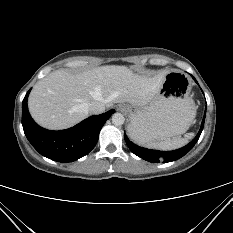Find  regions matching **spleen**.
<instances>
[{
    "instance_id": "1",
    "label": "spleen",
    "mask_w": 233,
    "mask_h": 233,
    "mask_svg": "<svg viewBox=\"0 0 233 233\" xmlns=\"http://www.w3.org/2000/svg\"><path fill=\"white\" fill-rule=\"evenodd\" d=\"M128 134L131 139L138 142L136 135H134L133 133H129V132ZM193 137H194V133L191 132V133L185 134L184 138L177 137L173 139H167V140L160 141V142L150 143L145 146L152 148V149H159V150H174L187 144V142Z\"/></svg>"
}]
</instances>
